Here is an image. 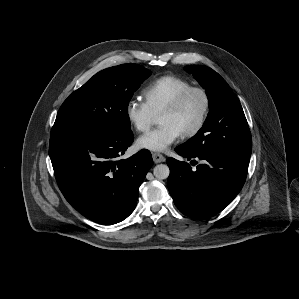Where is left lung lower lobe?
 Instances as JSON below:
<instances>
[{"label":"left lung lower lobe","mask_w":299,"mask_h":299,"mask_svg":"<svg viewBox=\"0 0 299 299\" xmlns=\"http://www.w3.org/2000/svg\"><path fill=\"white\" fill-rule=\"evenodd\" d=\"M175 151L188 161L201 160L196 169L189 163L168 158V189L176 207L196 219H207L222 211L242 189L250 157L236 155L204 156L182 145Z\"/></svg>","instance_id":"0a47b994"}]
</instances>
